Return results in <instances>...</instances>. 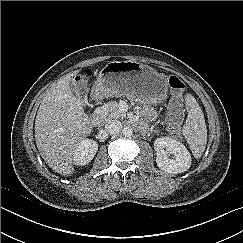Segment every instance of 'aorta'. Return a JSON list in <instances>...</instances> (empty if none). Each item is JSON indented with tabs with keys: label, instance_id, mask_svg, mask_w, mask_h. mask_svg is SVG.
Here are the masks:
<instances>
[{
	"label": "aorta",
	"instance_id": "obj_1",
	"mask_svg": "<svg viewBox=\"0 0 243 243\" xmlns=\"http://www.w3.org/2000/svg\"><path fill=\"white\" fill-rule=\"evenodd\" d=\"M122 133L125 137H129L133 134V129L130 126H126L123 128Z\"/></svg>",
	"mask_w": 243,
	"mask_h": 243
}]
</instances>
